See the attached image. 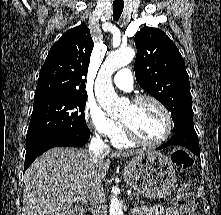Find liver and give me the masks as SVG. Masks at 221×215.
Here are the masks:
<instances>
[{"instance_id":"liver-1","label":"liver","mask_w":221,"mask_h":215,"mask_svg":"<svg viewBox=\"0 0 221 215\" xmlns=\"http://www.w3.org/2000/svg\"><path fill=\"white\" fill-rule=\"evenodd\" d=\"M134 152H112L95 158L86 149L52 148L24 174L22 215H73L77 197L89 199L102 191L109 158ZM141 154V153H136Z\"/></svg>"}]
</instances>
